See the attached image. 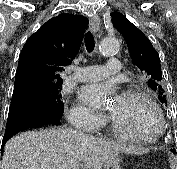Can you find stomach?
<instances>
[{
    "label": "stomach",
    "instance_id": "stomach-1",
    "mask_svg": "<svg viewBox=\"0 0 177 169\" xmlns=\"http://www.w3.org/2000/svg\"><path fill=\"white\" fill-rule=\"evenodd\" d=\"M121 158L118 154L110 157L104 164L103 169H120Z\"/></svg>",
    "mask_w": 177,
    "mask_h": 169
}]
</instances>
